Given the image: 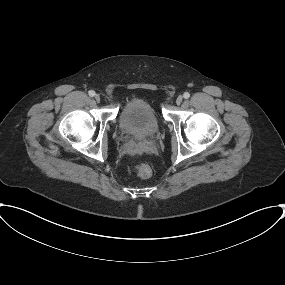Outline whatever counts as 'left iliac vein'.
Instances as JSON below:
<instances>
[{"label": "left iliac vein", "mask_w": 285, "mask_h": 285, "mask_svg": "<svg viewBox=\"0 0 285 285\" xmlns=\"http://www.w3.org/2000/svg\"><path fill=\"white\" fill-rule=\"evenodd\" d=\"M182 101H183V97L181 95H179L176 99V104L180 105L182 103Z\"/></svg>", "instance_id": "1"}]
</instances>
